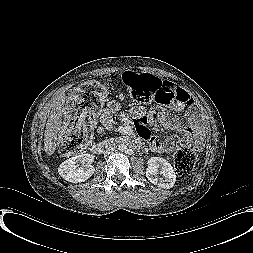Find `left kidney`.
I'll return each instance as SVG.
<instances>
[{
    "label": "left kidney",
    "mask_w": 253,
    "mask_h": 253,
    "mask_svg": "<svg viewBox=\"0 0 253 253\" xmlns=\"http://www.w3.org/2000/svg\"><path fill=\"white\" fill-rule=\"evenodd\" d=\"M147 164L146 177L152 184L164 189H170L174 186L176 175L172 165L166 159L151 157Z\"/></svg>",
    "instance_id": "5707ae66"
}]
</instances>
